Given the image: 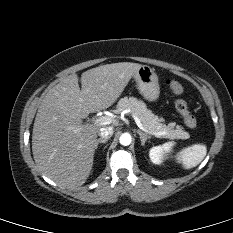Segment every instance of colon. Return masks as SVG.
I'll return each instance as SVG.
<instances>
[{
    "label": "colon",
    "instance_id": "obj_1",
    "mask_svg": "<svg viewBox=\"0 0 233 233\" xmlns=\"http://www.w3.org/2000/svg\"><path fill=\"white\" fill-rule=\"evenodd\" d=\"M164 83L172 95H175V96L180 95L183 91V87L181 83L174 78H171V77L166 78ZM174 105H175L176 110L181 115L185 125L190 128H194L197 124V119L190 112L187 106V103L182 99H176L174 101Z\"/></svg>",
    "mask_w": 233,
    "mask_h": 233
}]
</instances>
